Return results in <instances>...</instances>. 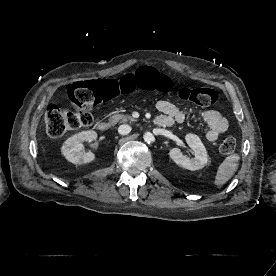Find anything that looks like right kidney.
Wrapping results in <instances>:
<instances>
[{"label": "right kidney", "instance_id": "ca27d5eb", "mask_svg": "<svg viewBox=\"0 0 276 276\" xmlns=\"http://www.w3.org/2000/svg\"><path fill=\"white\" fill-rule=\"evenodd\" d=\"M97 133L95 131H82L69 137L62 145L61 152L64 157L74 164L89 163L95 159L92 152H83L82 142L96 140Z\"/></svg>", "mask_w": 276, "mask_h": 276}]
</instances>
